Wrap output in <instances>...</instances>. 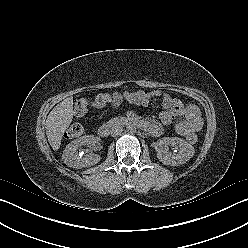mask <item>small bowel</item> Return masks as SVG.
Instances as JSON below:
<instances>
[{
	"instance_id": "c3829d8e",
	"label": "small bowel",
	"mask_w": 248,
	"mask_h": 248,
	"mask_svg": "<svg viewBox=\"0 0 248 248\" xmlns=\"http://www.w3.org/2000/svg\"><path fill=\"white\" fill-rule=\"evenodd\" d=\"M110 102L113 108H117L122 101L132 104L146 106L154 98H160L163 110L159 113V119L163 125H168L175 117L180 119L175 124V130L187 140L191 135L198 132L203 120L200 110L193 104H184L166 92L160 90L114 93ZM149 132L154 136L162 134V126L155 122H148Z\"/></svg>"
}]
</instances>
